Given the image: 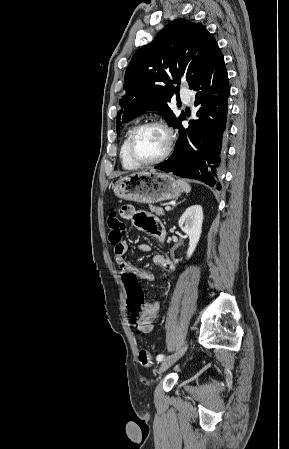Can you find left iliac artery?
Returning <instances> with one entry per match:
<instances>
[{
    "label": "left iliac artery",
    "instance_id": "obj_1",
    "mask_svg": "<svg viewBox=\"0 0 289 449\" xmlns=\"http://www.w3.org/2000/svg\"><path fill=\"white\" fill-rule=\"evenodd\" d=\"M164 358H165V355H164V354H160V355H158V356L156 357V360H157L158 362H160V361H163Z\"/></svg>",
    "mask_w": 289,
    "mask_h": 449
}]
</instances>
